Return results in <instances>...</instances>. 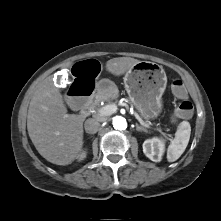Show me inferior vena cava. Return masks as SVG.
<instances>
[{
    "instance_id": "obj_1",
    "label": "inferior vena cava",
    "mask_w": 221,
    "mask_h": 221,
    "mask_svg": "<svg viewBox=\"0 0 221 221\" xmlns=\"http://www.w3.org/2000/svg\"><path fill=\"white\" fill-rule=\"evenodd\" d=\"M85 131L89 134H94L100 129V121L95 118H89L84 124Z\"/></svg>"
}]
</instances>
